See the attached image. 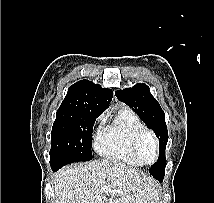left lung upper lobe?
Here are the masks:
<instances>
[{
  "instance_id": "5c2ea615",
  "label": "left lung upper lobe",
  "mask_w": 214,
  "mask_h": 203,
  "mask_svg": "<svg viewBox=\"0 0 214 203\" xmlns=\"http://www.w3.org/2000/svg\"><path fill=\"white\" fill-rule=\"evenodd\" d=\"M115 94L155 132L159 140L160 152L157 162L150 168L149 172L158 181L163 180L166 167L165 148L168 142L164 111L146 84L137 83L134 87L118 90Z\"/></svg>"
}]
</instances>
